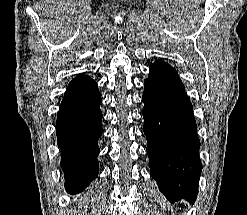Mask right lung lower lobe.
<instances>
[{"label": "right lung lower lobe", "mask_w": 247, "mask_h": 215, "mask_svg": "<svg viewBox=\"0 0 247 215\" xmlns=\"http://www.w3.org/2000/svg\"><path fill=\"white\" fill-rule=\"evenodd\" d=\"M100 104L97 83L79 74L70 81L57 112V143L62 152L65 188L70 194L82 192L99 172Z\"/></svg>", "instance_id": "1"}]
</instances>
